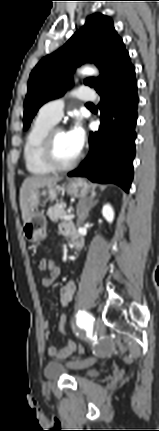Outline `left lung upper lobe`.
Masks as SVG:
<instances>
[{
	"mask_svg": "<svg viewBox=\"0 0 159 431\" xmlns=\"http://www.w3.org/2000/svg\"><path fill=\"white\" fill-rule=\"evenodd\" d=\"M84 62H93L101 71L99 77L84 81L97 92L131 64L109 17L98 13L89 16L81 30L76 31L63 47L36 65L30 75L24 103V130L43 104L66 92L72 85L73 71Z\"/></svg>",
	"mask_w": 159,
	"mask_h": 431,
	"instance_id": "left-lung-upper-lobe-1",
	"label": "left lung upper lobe"
}]
</instances>
